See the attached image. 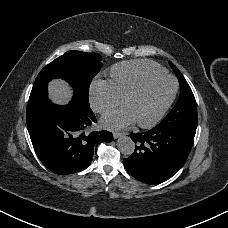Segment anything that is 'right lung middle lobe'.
<instances>
[{
  "label": "right lung middle lobe",
  "instance_id": "dd1d6c3e",
  "mask_svg": "<svg viewBox=\"0 0 228 228\" xmlns=\"http://www.w3.org/2000/svg\"><path fill=\"white\" fill-rule=\"evenodd\" d=\"M97 53L68 51L45 66L38 74L29 102L47 97V83L54 78L68 82L74 90L71 102L79 109H89L88 91L93 77L102 67Z\"/></svg>",
  "mask_w": 228,
  "mask_h": 228
}]
</instances>
